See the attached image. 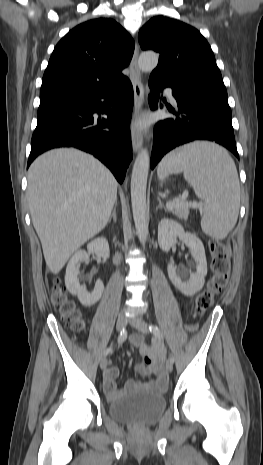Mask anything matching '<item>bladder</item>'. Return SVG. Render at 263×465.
Returning <instances> with one entry per match:
<instances>
[{
  "label": "bladder",
  "mask_w": 263,
  "mask_h": 465,
  "mask_svg": "<svg viewBox=\"0 0 263 465\" xmlns=\"http://www.w3.org/2000/svg\"><path fill=\"white\" fill-rule=\"evenodd\" d=\"M166 408L163 395L140 389L121 395L108 406L109 416L120 423L150 426L158 422Z\"/></svg>",
  "instance_id": "bladder-1"
}]
</instances>
